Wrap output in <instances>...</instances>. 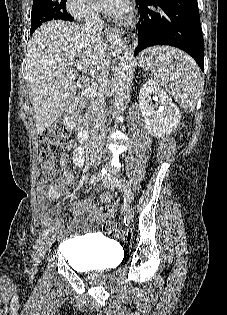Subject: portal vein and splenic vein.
I'll return each mask as SVG.
<instances>
[{
  "instance_id": "1",
  "label": "portal vein and splenic vein",
  "mask_w": 227,
  "mask_h": 315,
  "mask_svg": "<svg viewBox=\"0 0 227 315\" xmlns=\"http://www.w3.org/2000/svg\"><path fill=\"white\" fill-rule=\"evenodd\" d=\"M77 68H78L79 72L86 73V65H85V63H78L77 64ZM87 81H89V79H87ZM86 91L87 92H92L94 90L92 89V86L88 85L86 87Z\"/></svg>"
}]
</instances>
